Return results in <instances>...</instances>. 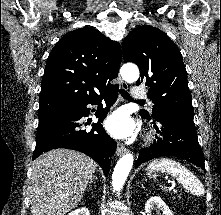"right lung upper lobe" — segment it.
I'll list each match as a JSON object with an SVG mask.
<instances>
[{"mask_svg":"<svg viewBox=\"0 0 221 215\" xmlns=\"http://www.w3.org/2000/svg\"><path fill=\"white\" fill-rule=\"evenodd\" d=\"M121 57L120 44L96 29L64 35L47 59L38 118L67 112L116 87L110 81L118 76Z\"/></svg>","mask_w":221,"mask_h":215,"instance_id":"obj_1","label":"right lung upper lobe"}]
</instances>
